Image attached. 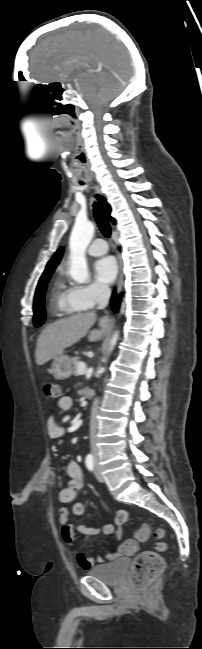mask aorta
<instances>
[{"label": "aorta", "instance_id": "1", "mask_svg": "<svg viewBox=\"0 0 202 649\" xmlns=\"http://www.w3.org/2000/svg\"><path fill=\"white\" fill-rule=\"evenodd\" d=\"M94 229L95 227L92 222L79 220L75 223L70 236L69 273L72 279L78 283H85L89 280V271L85 257V251L93 238ZM118 338L119 332L116 331L110 341V352L114 349Z\"/></svg>", "mask_w": 202, "mask_h": 649}]
</instances>
